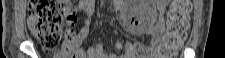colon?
Here are the masks:
<instances>
[{"label":"colon","mask_w":225,"mask_h":58,"mask_svg":"<svg viewBox=\"0 0 225 58\" xmlns=\"http://www.w3.org/2000/svg\"><path fill=\"white\" fill-rule=\"evenodd\" d=\"M190 5L187 0H174L167 12L166 34L157 52L163 58H175L187 36ZM77 9L69 0H30L28 23L41 49L59 58H74L75 48L69 44L75 37L73 26ZM150 51L143 48L139 56L149 57Z\"/></svg>","instance_id":"colon-1"}]
</instances>
